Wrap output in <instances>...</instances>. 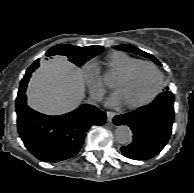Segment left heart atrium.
I'll return each mask as SVG.
<instances>
[{
  "label": "left heart atrium",
  "mask_w": 194,
  "mask_h": 193,
  "mask_svg": "<svg viewBox=\"0 0 194 193\" xmlns=\"http://www.w3.org/2000/svg\"><path fill=\"white\" fill-rule=\"evenodd\" d=\"M122 102L123 101H122L121 96L119 95V93L115 92L114 94H112L110 96V98L107 101V104L110 105V106H116V105H118Z\"/></svg>",
  "instance_id": "39dd6f15"
}]
</instances>
